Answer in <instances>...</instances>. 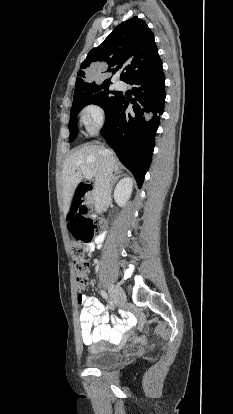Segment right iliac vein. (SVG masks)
Listing matches in <instances>:
<instances>
[{
  "instance_id": "1",
  "label": "right iliac vein",
  "mask_w": 233,
  "mask_h": 414,
  "mask_svg": "<svg viewBox=\"0 0 233 414\" xmlns=\"http://www.w3.org/2000/svg\"><path fill=\"white\" fill-rule=\"evenodd\" d=\"M108 290L114 304L117 306H123L126 302L125 292L120 287L113 284L108 286Z\"/></svg>"
}]
</instances>
